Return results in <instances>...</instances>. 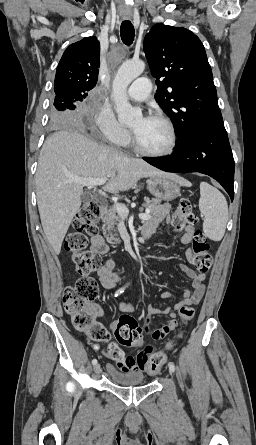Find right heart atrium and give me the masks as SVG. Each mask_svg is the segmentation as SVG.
I'll use <instances>...</instances> for the list:
<instances>
[{
    "label": "right heart atrium",
    "mask_w": 256,
    "mask_h": 445,
    "mask_svg": "<svg viewBox=\"0 0 256 445\" xmlns=\"http://www.w3.org/2000/svg\"><path fill=\"white\" fill-rule=\"evenodd\" d=\"M93 119L101 137L108 143L122 145L128 141V130L119 123L115 114L108 106L104 104L99 105Z\"/></svg>",
    "instance_id": "1"
}]
</instances>
